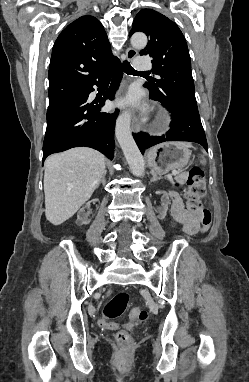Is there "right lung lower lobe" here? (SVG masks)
<instances>
[{
	"label": "right lung lower lobe",
	"instance_id": "right-lung-lower-lobe-1",
	"mask_svg": "<svg viewBox=\"0 0 249 382\" xmlns=\"http://www.w3.org/2000/svg\"><path fill=\"white\" fill-rule=\"evenodd\" d=\"M113 77L103 98L89 101L93 85L100 86L108 76ZM123 71L119 59L111 61L96 78L77 94L55 110L47 112V129L43 143V162L47 156L64 150L85 146L94 148L110 159L114 156V126L119 111L100 112L106 99L113 100Z\"/></svg>",
	"mask_w": 249,
	"mask_h": 382
}]
</instances>
